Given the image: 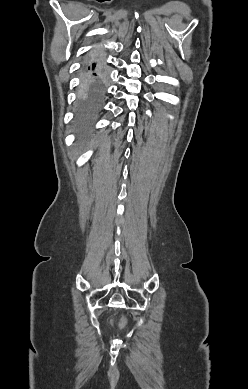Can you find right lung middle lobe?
I'll return each instance as SVG.
<instances>
[{"instance_id": "dd1d6c3e", "label": "right lung middle lobe", "mask_w": 248, "mask_h": 389, "mask_svg": "<svg viewBox=\"0 0 248 389\" xmlns=\"http://www.w3.org/2000/svg\"><path fill=\"white\" fill-rule=\"evenodd\" d=\"M107 78V70L101 62L92 60L85 63L77 110L82 126L91 122L99 113L104 101Z\"/></svg>"}]
</instances>
